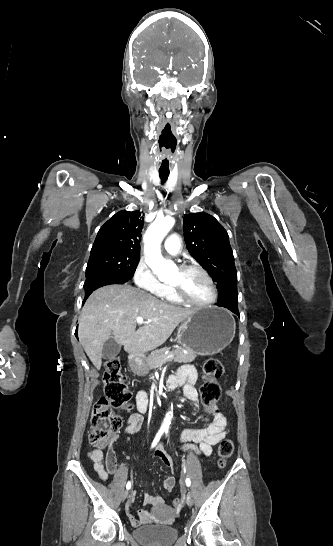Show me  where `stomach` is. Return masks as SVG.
<instances>
[{
  "instance_id": "stomach-1",
  "label": "stomach",
  "mask_w": 333,
  "mask_h": 546,
  "mask_svg": "<svg viewBox=\"0 0 333 546\" xmlns=\"http://www.w3.org/2000/svg\"><path fill=\"white\" fill-rule=\"evenodd\" d=\"M235 329V320L228 311L209 307L197 310L183 321L178 329L177 339L189 352L199 356H212L232 342ZM129 363L134 374H147L144 357L136 356Z\"/></svg>"
}]
</instances>
